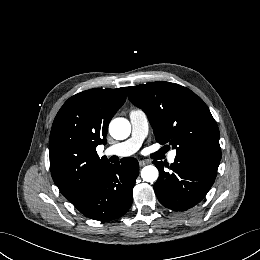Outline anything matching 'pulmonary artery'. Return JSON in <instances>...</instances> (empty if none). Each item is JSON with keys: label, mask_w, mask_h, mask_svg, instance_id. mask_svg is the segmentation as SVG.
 I'll return each mask as SVG.
<instances>
[{"label": "pulmonary artery", "mask_w": 260, "mask_h": 260, "mask_svg": "<svg viewBox=\"0 0 260 260\" xmlns=\"http://www.w3.org/2000/svg\"><path fill=\"white\" fill-rule=\"evenodd\" d=\"M130 123L132 127L131 137L122 142L115 144L105 150L107 156L116 155L120 157L134 154L141 146L147 132L148 121L145 113L140 109L130 111ZM176 152L171 151L169 154V162H174Z\"/></svg>", "instance_id": "1"}]
</instances>
